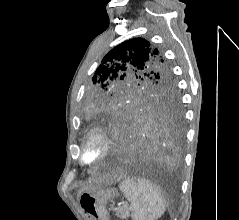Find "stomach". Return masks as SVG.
<instances>
[{"instance_id": "stomach-1", "label": "stomach", "mask_w": 239, "mask_h": 220, "mask_svg": "<svg viewBox=\"0 0 239 220\" xmlns=\"http://www.w3.org/2000/svg\"><path fill=\"white\" fill-rule=\"evenodd\" d=\"M113 188L102 190H88L80 196V207L88 220H106V217H118V212H105V204L116 197Z\"/></svg>"}]
</instances>
